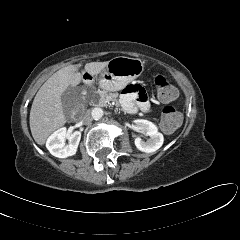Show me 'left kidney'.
<instances>
[{
    "label": "left kidney",
    "instance_id": "5707ae66",
    "mask_svg": "<svg viewBox=\"0 0 240 240\" xmlns=\"http://www.w3.org/2000/svg\"><path fill=\"white\" fill-rule=\"evenodd\" d=\"M132 128L137 132H146L150 137L147 141H143L139 137L135 138L134 142L138 150L151 153L155 152L163 145L164 137L158 131V127L152 122L144 119H137L133 121Z\"/></svg>",
    "mask_w": 240,
    "mask_h": 240
}]
</instances>
